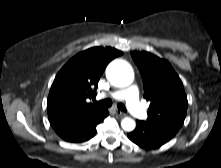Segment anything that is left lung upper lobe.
<instances>
[{
    "instance_id": "5c2ea615",
    "label": "left lung upper lobe",
    "mask_w": 221,
    "mask_h": 168,
    "mask_svg": "<svg viewBox=\"0 0 221 168\" xmlns=\"http://www.w3.org/2000/svg\"><path fill=\"white\" fill-rule=\"evenodd\" d=\"M131 56L142 76L144 98L151 102L146 122L175 135L188 106L182 81L167 60L145 51Z\"/></svg>"
}]
</instances>
